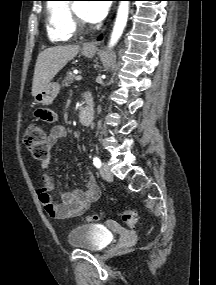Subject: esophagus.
Segmentation results:
<instances>
[{
  "label": "esophagus",
  "instance_id": "esophagus-1",
  "mask_svg": "<svg viewBox=\"0 0 216 285\" xmlns=\"http://www.w3.org/2000/svg\"><path fill=\"white\" fill-rule=\"evenodd\" d=\"M100 43L98 40H92L91 42H88L85 44L84 49H95L96 46Z\"/></svg>",
  "mask_w": 216,
  "mask_h": 285
}]
</instances>
